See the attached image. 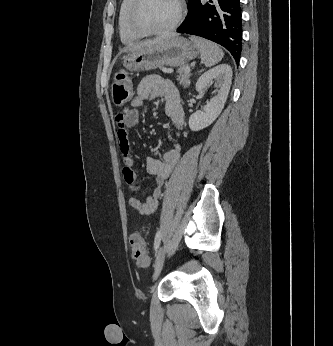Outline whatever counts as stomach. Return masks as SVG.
I'll use <instances>...</instances> for the list:
<instances>
[{
  "label": "stomach",
  "mask_w": 333,
  "mask_h": 346,
  "mask_svg": "<svg viewBox=\"0 0 333 346\" xmlns=\"http://www.w3.org/2000/svg\"><path fill=\"white\" fill-rule=\"evenodd\" d=\"M198 46L184 37H173L161 43L144 46L123 57L124 67L132 72L158 67H181L199 55Z\"/></svg>",
  "instance_id": "1"
}]
</instances>
